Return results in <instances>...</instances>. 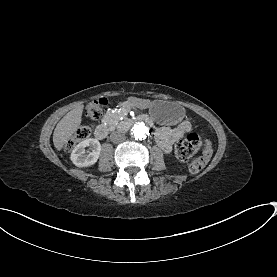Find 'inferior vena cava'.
<instances>
[{
  "instance_id": "1",
  "label": "inferior vena cava",
  "mask_w": 277,
  "mask_h": 277,
  "mask_svg": "<svg viewBox=\"0 0 277 277\" xmlns=\"http://www.w3.org/2000/svg\"><path fill=\"white\" fill-rule=\"evenodd\" d=\"M109 137L110 140L114 143L121 142L125 139L124 135L119 132H112Z\"/></svg>"
}]
</instances>
